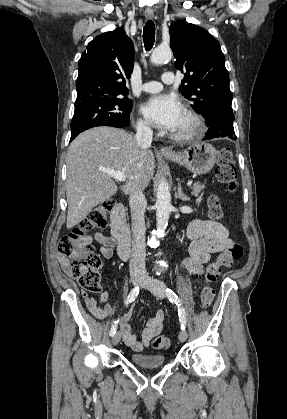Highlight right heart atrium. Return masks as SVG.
<instances>
[{"instance_id": "d8ad5b80", "label": "right heart atrium", "mask_w": 287, "mask_h": 419, "mask_svg": "<svg viewBox=\"0 0 287 419\" xmlns=\"http://www.w3.org/2000/svg\"><path fill=\"white\" fill-rule=\"evenodd\" d=\"M137 130L141 133V134H148L151 132V127L150 124L144 120V119H139L137 121Z\"/></svg>"}]
</instances>
